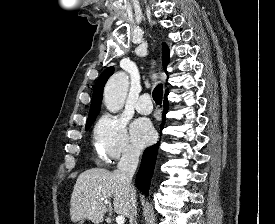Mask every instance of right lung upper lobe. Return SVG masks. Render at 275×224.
<instances>
[{"label":"right lung upper lobe","mask_w":275,"mask_h":224,"mask_svg":"<svg viewBox=\"0 0 275 224\" xmlns=\"http://www.w3.org/2000/svg\"><path fill=\"white\" fill-rule=\"evenodd\" d=\"M162 50H163V55H162L163 67L167 74L166 66L169 62V49L166 44H163ZM113 72H114L113 67L106 68L102 72V74L100 75L98 80L96 81V84L94 86L93 97H92V101H91V106H90V111H89V116H88L87 122L95 120L96 116L98 115V113L100 111V107H101V100H102V96H103L104 85H105L106 81L108 80V78L113 74Z\"/></svg>","instance_id":"obj_1"}]
</instances>
